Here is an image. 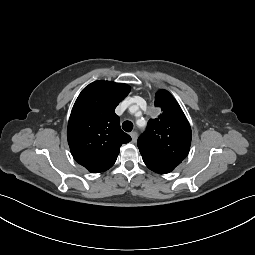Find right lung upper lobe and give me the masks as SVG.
<instances>
[{
    "instance_id": "cb5924a9",
    "label": "right lung upper lobe",
    "mask_w": 255,
    "mask_h": 255,
    "mask_svg": "<svg viewBox=\"0 0 255 255\" xmlns=\"http://www.w3.org/2000/svg\"><path fill=\"white\" fill-rule=\"evenodd\" d=\"M126 84L95 81L78 96L68 122L67 138L76 162L91 173L108 170L120 146L131 137L120 128L116 106L128 95Z\"/></svg>"
}]
</instances>
